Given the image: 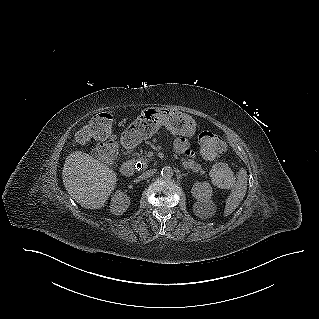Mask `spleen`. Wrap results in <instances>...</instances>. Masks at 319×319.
Masks as SVG:
<instances>
[{
    "label": "spleen",
    "mask_w": 319,
    "mask_h": 319,
    "mask_svg": "<svg viewBox=\"0 0 319 319\" xmlns=\"http://www.w3.org/2000/svg\"><path fill=\"white\" fill-rule=\"evenodd\" d=\"M247 190V172L245 169H241L238 173V180L232 189L231 194L226 200L224 216L230 215L239 206L243 200Z\"/></svg>",
    "instance_id": "obj_1"
}]
</instances>
